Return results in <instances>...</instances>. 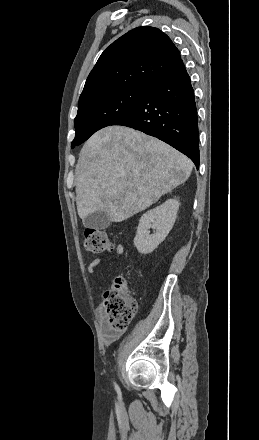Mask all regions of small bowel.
<instances>
[{
	"instance_id": "small-bowel-1",
	"label": "small bowel",
	"mask_w": 259,
	"mask_h": 440,
	"mask_svg": "<svg viewBox=\"0 0 259 440\" xmlns=\"http://www.w3.org/2000/svg\"><path fill=\"white\" fill-rule=\"evenodd\" d=\"M115 251H116L117 256H119V257L122 256V257L127 258L126 249L121 243L116 244ZM101 263H102L101 258H96L93 261H91V263L88 265V268H87L88 272L90 274L95 273L97 271V269L99 268V266L101 265ZM95 311H96V316L99 321L104 344L109 345V344L113 343L114 341H116L122 335L123 330H118V329H115L112 326H110V324L107 321L104 307L102 304L97 306Z\"/></svg>"
}]
</instances>
